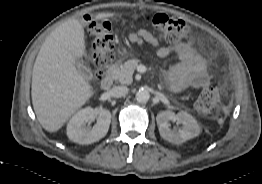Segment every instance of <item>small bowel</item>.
Here are the masks:
<instances>
[{
	"label": "small bowel",
	"mask_w": 262,
	"mask_h": 184,
	"mask_svg": "<svg viewBox=\"0 0 262 184\" xmlns=\"http://www.w3.org/2000/svg\"><path fill=\"white\" fill-rule=\"evenodd\" d=\"M127 37L131 43H147L156 47V53L160 58H166L171 53L178 56L180 62L172 67L168 74L174 91L179 92L186 88H201L210 83L211 77L208 73L207 61L189 44L161 45L151 32L143 28L130 32Z\"/></svg>",
	"instance_id": "obj_1"
}]
</instances>
